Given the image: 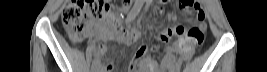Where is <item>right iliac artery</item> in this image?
I'll return each instance as SVG.
<instances>
[{"instance_id": "obj_1", "label": "right iliac artery", "mask_w": 267, "mask_h": 72, "mask_svg": "<svg viewBox=\"0 0 267 72\" xmlns=\"http://www.w3.org/2000/svg\"><path fill=\"white\" fill-rule=\"evenodd\" d=\"M143 5H144V0H138L134 4L131 12L129 13V15L127 17V20H126L127 23L130 22V21H132L137 16V14L139 13V11L141 10V8H142ZM96 63H97V59L94 58V60L92 62V65H94Z\"/></svg>"}]
</instances>
